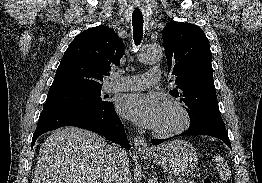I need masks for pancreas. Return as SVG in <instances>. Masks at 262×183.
<instances>
[{
    "label": "pancreas",
    "instance_id": "pancreas-1",
    "mask_svg": "<svg viewBox=\"0 0 262 183\" xmlns=\"http://www.w3.org/2000/svg\"><path fill=\"white\" fill-rule=\"evenodd\" d=\"M176 183H192L190 180H178Z\"/></svg>",
    "mask_w": 262,
    "mask_h": 183
}]
</instances>
